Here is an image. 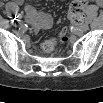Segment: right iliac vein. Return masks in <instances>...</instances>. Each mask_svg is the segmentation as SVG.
Wrapping results in <instances>:
<instances>
[{"mask_svg": "<svg viewBox=\"0 0 103 103\" xmlns=\"http://www.w3.org/2000/svg\"><path fill=\"white\" fill-rule=\"evenodd\" d=\"M13 24H14L15 27H18V26L21 25V21H20V20H17V21H15Z\"/></svg>", "mask_w": 103, "mask_h": 103, "instance_id": "right-iliac-vein-1", "label": "right iliac vein"}]
</instances>
